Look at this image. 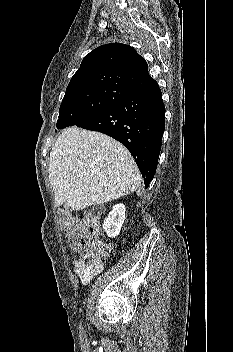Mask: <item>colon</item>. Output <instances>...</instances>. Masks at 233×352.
Returning <instances> with one entry per match:
<instances>
[{
    "instance_id": "1",
    "label": "colon",
    "mask_w": 233,
    "mask_h": 352,
    "mask_svg": "<svg viewBox=\"0 0 233 352\" xmlns=\"http://www.w3.org/2000/svg\"><path fill=\"white\" fill-rule=\"evenodd\" d=\"M60 224L68 235V248L80 254L74 263L76 273L82 280H89L101 271V258L109 249V245L102 241L91 242V234L99 233L97 217L89 214L83 221L63 218Z\"/></svg>"
}]
</instances>
